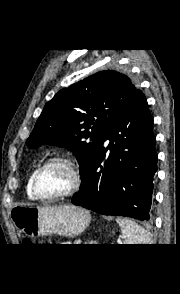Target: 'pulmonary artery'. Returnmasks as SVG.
<instances>
[{
    "label": "pulmonary artery",
    "instance_id": "1",
    "mask_svg": "<svg viewBox=\"0 0 180 294\" xmlns=\"http://www.w3.org/2000/svg\"><path fill=\"white\" fill-rule=\"evenodd\" d=\"M106 143L109 144V140H107Z\"/></svg>",
    "mask_w": 180,
    "mask_h": 294
}]
</instances>
